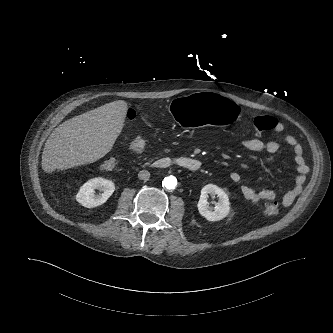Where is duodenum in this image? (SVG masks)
I'll use <instances>...</instances> for the list:
<instances>
[{
  "mask_svg": "<svg viewBox=\"0 0 333 333\" xmlns=\"http://www.w3.org/2000/svg\"><path fill=\"white\" fill-rule=\"evenodd\" d=\"M201 166V161L193 157L161 158L152 162L154 168L178 167L191 172L199 171Z\"/></svg>",
  "mask_w": 333,
  "mask_h": 333,
  "instance_id": "duodenum-1",
  "label": "duodenum"
}]
</instances>
